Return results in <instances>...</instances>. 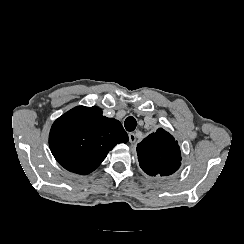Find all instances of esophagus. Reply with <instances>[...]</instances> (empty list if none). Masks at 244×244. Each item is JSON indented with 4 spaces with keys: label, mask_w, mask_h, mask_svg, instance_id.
Instances as JSON below:
<instances>
[{
    "label": "esophagus",
    "mask_w": 244,
    "mask_h": 244,
    "mask_svg": "<svg viewBox=\"0 0 244 244\" xmlns=\"http://www.w3.org/2000/svg\"><path fill=\"white\" fill-rule=\"evenodd\" d=\"M128 137H129V142L130 143H134L136 141V136L133 132H129L128 133Z\"/></svg>",
    "instance_id": "34e87169"
}]
</instances>
